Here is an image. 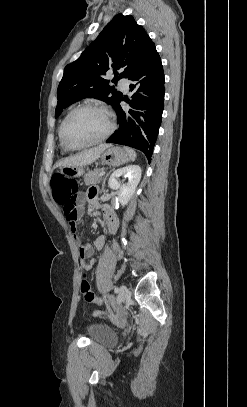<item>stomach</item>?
I'll use <instances>...</instances> for the list:
<instances>
[{
	"label": "stomach",
	"mask_w": 247,
	"mask_h": 407,
	"mask_svg": "<svg viewBox=\"0 0 247 407\" xmlns=\"http://www.w3.org/2000/svg\"><path fill=\"white\" fill-rule=\"evenodd\" d=\"M101 161L103 164L109 166H119L127 161H129L130 157L128 152L121 147H115L110 145L107 147L102 154L100 155ZM63 175H69L73 177L82 176L84 174L83 167L80 166H63L61 169Z\"/></svg>",
	"instance_id": "0dacf381"
}]
</instances>
